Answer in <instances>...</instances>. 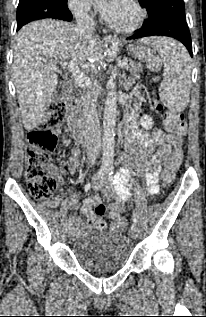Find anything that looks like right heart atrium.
Returning a JSON list of instances; mask_svg holds the SVG:
<instances>
[{
	"label": "right heart atrium",
	"instance_id": "obj_1",
	"mask_svg": "<svg viewBox=\"0 0 206 317\" xmlns=\"http://www.w3.org/2000/svg\"><path fill=\"white\" fill-rule=\"evenodd\" d=\"M69 6L78 17L87 18L92 15V9L85 0H69Z\"/></svg>",
	"mask_w": 206,
	"mask_h": 317
}]
</instances>
